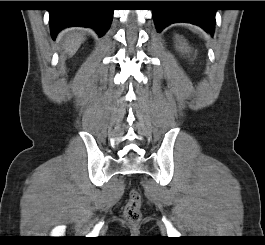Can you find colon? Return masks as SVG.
<instances>
[{
  "label": "colon",
  "mask_w": 265,
  "mask_h": 245,
  "mask_svg": "<svg viewBox=\"0 0 265 245\" xmlns=\"http://www.w3.org/2000/svg\"><path fill=\"white\" fill-rule=\"evenodd\" d=\"M141 195L136 189H132L128 202L124 208V217L131 224H137L141 220Z\"/></svg>",
  "instance_id": "5ec220e1"
}]
</instances>
